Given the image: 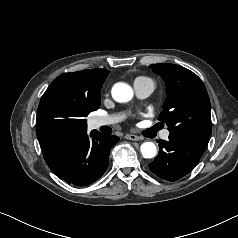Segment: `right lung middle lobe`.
<instances>
[{
    "instance_id": "right-lung-middle-lobe-1",
    "label": "right lung middle lobe",
    "mask_w": 238,
    "mask_h": 238,
    "mask_svg": "<svg viewBox=\"0 0 238 238\" xmlns=\"http://www.w3.org/2000/svg\"><path fill=\"white\" fill-rule=\"evenodd\" d=\"M99 107H100V100L94 103H86V105L84 106V119L90 112L97 110ZM85 126L87 127L86 119H85Z\"/></svg>"
}]
</instances>
